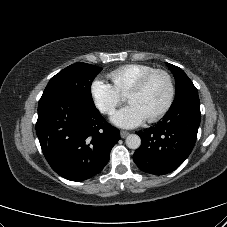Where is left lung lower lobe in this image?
<instances>
[{"mask_svg": "<svg viewBox=\"0 0 227 227\" xmlns=\"http://www.w3.org/2000/svg\"><path fill=\"white\" fill-rule=\"evenodd\" d=\"M198 94L172 104L163 120L149 130L138 132L142 144L133 159L142 171L163 175L177 169L189 156L200 125Z\"/></svg>", "mask_w": 227, "mask_h": 227, "instance_id": "left-lung-lower-lobe-1", "label": "left lung lower lobe"}]
</instances>
